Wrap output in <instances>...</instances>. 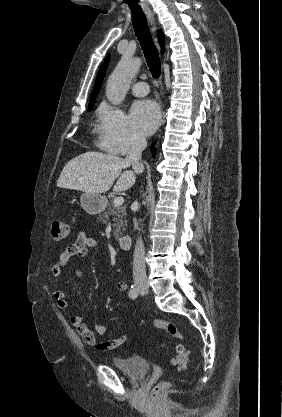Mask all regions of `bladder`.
Here are the masks:
<instances>
[{
  "label": "bladder",
  "instance_id": "31cf9c89",
  "mask_svg": "<svg viewBox=\"0 0 282 417\" xmlns=\"http://www.w3.org/2000/svg\"><path fill=\"white\" fill-rule=\"evenodd\" d=\"M109 362L132 380H140L150 371L149 361L142 356L113 357Z\"/></svg>",
  "mask_w": 282,
  "mask_h": 417
}]
</instances>
